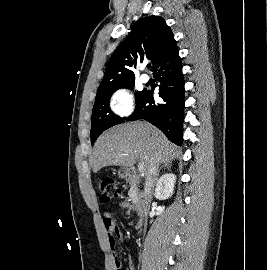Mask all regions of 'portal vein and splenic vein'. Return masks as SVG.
<instances>
[{"label":"portal vein and splenic vein","instance_id":"portal-vein-and-splenic-vein-1","mask_svg":"<svg viewBox=\"0 0 267 270\" xmlns=\"http://www.w3.org/2000/svg\"><path fill=\"white\" fill-rule=\"evenodd\" d=\"M138 170H139V172H143L144 171V164L142 162H139V164H138Z\"/></svg>","mask_w":267,"mask_h":270}]
</instances>
